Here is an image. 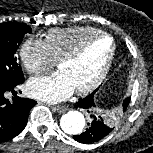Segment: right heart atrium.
<instances>
[{
    "instance_id": "right-heart-atrium-1",
    "label": "right heart atrium",
    "mask_w": 153,
    "mask_h": 153,
    "mask_svg": "<svg viewBox=\"0 0 153 153\" xmlns=\"http://www.w3.org/2000/svg\"><path fill=\"white\" fill-rule=\"evenodd\" d=\"M20 58L26 71L31 74H40L54 63L44 41L36 38H29L21 45Z\"/></svg>"
}]
</instances>
